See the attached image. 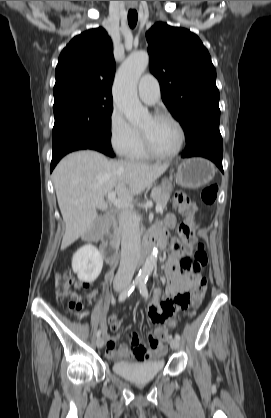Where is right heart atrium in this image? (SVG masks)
<instances>
[{
  "mask_svg": "<svg viewBox=\"0 0 271 418\" xmlns=\"http://www.w3.org/2000/svg\"><path fill=\"white\" fill-rule=\"evenodd\" d=\"M138 131L125 118L122 111L114 106L109 116V141L120 156H127L138 140Z\"/></svg>",
  "mask_w": 271,
  "mask_h": 418,
  "instance_id": "d8ad5b80",
  "label": "right heart atrium"
}]
</instances>
